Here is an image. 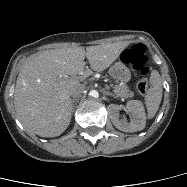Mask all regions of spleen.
Masks as SVG:
<instances>
[{"instance_id": "spleen-1", "label": "spleen", "mask_w": 187, "mask_h": 187, "mask_svg": "<svg viewBox=\"0 0 187 187\" xmlns=\"http://www.w3.org/2000/svg\"><path fill=\"white\" fill-rule=\"evenodd\" d=\"M150 79L152 86L145 96V105L147 108L148 117L152 118L155 116L161 103L163 90L162 81L157 71H152Z\"/></svg>"}]
</instances>
